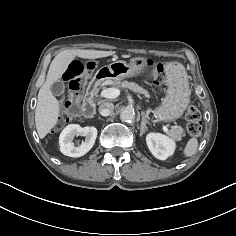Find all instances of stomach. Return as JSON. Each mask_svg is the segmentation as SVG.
Returning a JSON list of instances; mask_svg holds the SVG:
<instances>
[{"mask_svg": "<svg viewBox=\"0 0 236 236\" xmlns=\"http://www.w3.org/2000/svg\"><path fill=\"white\" fill-rule=\"evenodd\" d=\"M146 65L147 60L143 57L133 58L129 63L117 60L100 68L96 72L95 78L98 81L118 83L125 78L140 75L144 72ZM166 68L167 94L154 110V116L161 122H171L180 118L189 104L188 83L183 66L174 61L167 63Z\"/></svg>", "mask_w": 236, "mask_h": 236, "instance_id": "obj_1", "label": "stomach"}]
</instances>
